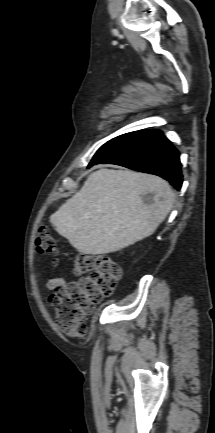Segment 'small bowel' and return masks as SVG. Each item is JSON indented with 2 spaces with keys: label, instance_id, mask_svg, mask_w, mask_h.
I'll use <instances>...</instances> for the list:
<instances>
[{
  "label": "small bowel",
  "instance_id": "small-bowel-1",
  "mask_svg": "<svg viewBox=\"0 0 215 433\" xmlns=\"http://www.w3.org/2000/svg\"><path fill=\"white\" fill-rule=\"evenodd\" d=\"M46 285L49 290H55L59 286H64L65 280L62 277H52L47 281Z\"/></svg>",
  "mask_w": 215,
  "mask_h": 433
}]
</instances>
